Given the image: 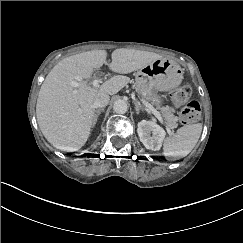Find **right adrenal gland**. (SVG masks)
Instances as JSON below:
<instances>
[{
  "label": "right adrenal gland",
  "mask_w": 243,
  "mask_h": 243,
  "mask_svg": "<svg viewBox=\"0 0 243 243\" xmlns=\"http://www.w3.org/2000/svg\"><path fill=\"white\" fill-rule=\"evenodd\" d=\"M103 111H104V108H98V109L95 110L94 117H93V120H92V126H94L96 124L99 115Z\"/></svg>",
  "instance_id": "2a0ac1e0"
}]
</instances>
